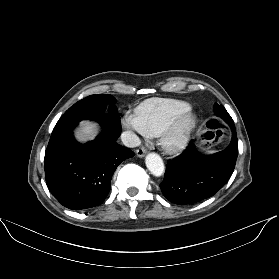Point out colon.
Segmentation results:
<instances>
[{"instance_id":"1","label":"colon","mask_w":279,"mask_h":279,"mask_svg":"<svg viewBox=\"0 0 279 279\" xmlns=\"http://www.w3.org/2000/svg\"><path fill=\"white\" fill-rule=\"evenodd\" d=\"M224 137V130L216 120H210L199 135V140L204 147H213L219 144Z\"/></svg>"}]
</instances>
